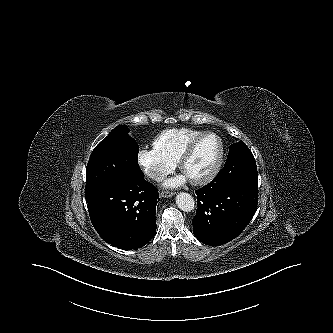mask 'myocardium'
I'll list each match as a JSON object with an SVG mask.
<instances>
[{
    "label": "myocardium",
    "instance_id": "f54148a6",
    "mask_svg": "<svg viewBox=\"0 0 333 333\" xmlns=\"http://www.w3.org/2000/svg\"><path fill=\"white\" fill-rule=\"evenodd\" d=\"M207 137H214L215 139H217L218 144H219V151H218V155H217L215 162L213 163V165L210 167V169L206 173H204L200 177L190 179V181L196 185H201V184H205V183L209 182L218 173V171L221 167V164L223 162V158H224V144H223L222 139L213 132H204L201 135H199L198 137H196L195 139H193L186 146V148L182 152V154L179 158V161H178L179 168L183 172V168H184V165L186 164V162L193 155V153L195 152L198 145Z\"/></svg>",
    "mask_w": 333,
    "mask_h": 333
}]
</instances>
